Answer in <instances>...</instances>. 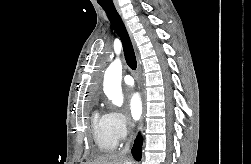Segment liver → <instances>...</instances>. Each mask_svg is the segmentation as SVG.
I'll return each instance as SVG.
<instances>
[{
  "label": "liver",
  "mask_w": 251,
  "mask_h": 164,
  "mask_svg": "<svg viewBox=\"0 0 251 164\" xmlns=\"http://www.w3.org/2000/svg\"><path fill=\"white\" fill-rule=\"evenodd\" d=\"M86 164H132L125 156L121 154H108L96 158L91 163Z\"/></svg>",
  "instance_id": "6515ba94"
}]
</instances>
